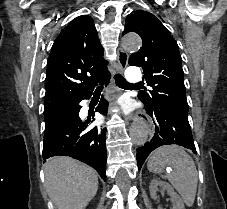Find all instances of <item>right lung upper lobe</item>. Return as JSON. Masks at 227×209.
<instances>
[{
    "instance_id": "cb5924a9",
    "label": "right lung upper lobe",
    "mask_w": 227,
    "mask_h": 209,
    "mask_svg": "<svg viewBox=\"0 0 227 209\" xmlns=\"http://www.w3.org/2000/svg\"><path fill=\"white\" fill-rule=\"evenodd\" d=\"M107 61L91 17L72 20L54 41L47 62L44 108L71 103L109 77Z\"/></svg>"
}]
</instances>
